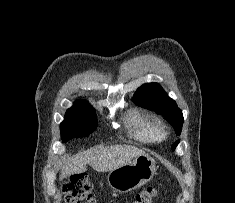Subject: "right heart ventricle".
I'll use <instances>...</instances> for the list:
<instances>
[{"label":"right heart ventricle","instance_id":"right-heart-ventricle-1","mask_svg":"<svg viewBox=\"0 0 235 203\" xmlns=\"http://www.w3.org/2000/svg\"><path fill=\"white\" fill-rule=\"evenodd\" d=\"M128 127L131 135L143 143L160 142L165 137L163 126L152 114L134 110L130 113Z\"/></svg>","mask_w":235,"mask_h":203}]
</instances>
